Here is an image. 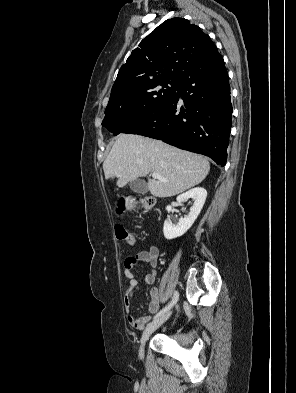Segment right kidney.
<instances>
[{"label": "right kidney", "mask_w": 296, "mask_h": 393, "mask_svg": "<svg viewBox=\"0 0 296 393\" xmlns=\"http://www.w3.org/2000/svg\"><path fill=\"white\" fill-rule=\"evenodd\" d=\"M207 197V191L204 188L196 187L193 188L186 193L179 195L176 199L177 204H181L182 202L192 199L194 201L188 216L184 218H180L179 222L174 225L168 220H165L163 233L164 237L168 240L174 239L177 237L182 236L187 232L188 229L193 225L195 220L197 219L198 215L200 214L203 205L205 203ZM167 212L172 211V206L168 205L166 207Z\"/></svg>", "instance_id": "ca27d5eb"}]
</instances>
